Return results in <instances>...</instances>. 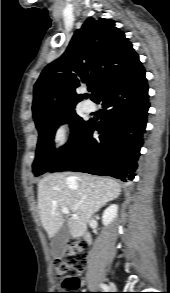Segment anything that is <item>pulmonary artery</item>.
I'll use <instances>...</instances> for the list:
<instances>
[{
    "label": "pulmonary artery",
    "instance_id": "pulmonary-artery-1",
    "mask_svg": "<svg viewBox=\"0 0 170 293\" xmlns=\"http://www.w3.org/2000/svg\"><path fill=\"white\" fill-rule=\"evenodd\" d=\"M84 111L90 112L94 109V104L90 101H86L83 105Z\"/></svg>",
    "mask_w": 170,
    "mask_h": 293
}]
</instances>
